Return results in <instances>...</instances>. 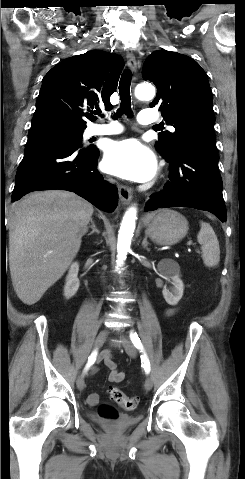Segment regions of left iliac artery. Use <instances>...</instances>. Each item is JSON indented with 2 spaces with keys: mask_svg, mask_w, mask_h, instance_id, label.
<instances>
[{
  "mask_svg": "<svg viewBox=\"0 0 245 479\" xmlns=\"http://www.w3.org/2000/svg\"><path fill=\"white\" fill-rule=\"evenodd\" d=\"M130 339L134 346L140 350L143 354L141 355L142 366L145 369V372L148 374L150 372V362L144 352L143 345L141 343L140 338L138 337L137 333L134 331L130 332Z\"/></svg>",
  "mask_w": 245,
  "mask_h": 479,
  "instance_id": "obj_1",
  "label": "left iliac artery"
}]
</instances>
